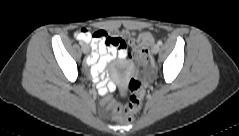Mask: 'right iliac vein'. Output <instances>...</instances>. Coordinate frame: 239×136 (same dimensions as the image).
<instances>
[{
  "mask_svg": "<svg viewBox=\"0 0 239 136\" xmlns=\"http://www.w3.org/2000/svg\"><path fill=\"white\" fill-rule=\"evenodd\" d=\"M82 51L83 53L87 54L89 51H90V48L87 44H85L83 47H82Z\"/></svg>",
  "mask_w": 239,
  "mask_h": 136,
  "instance_id": "right-iliac-vein-1",
  "label": "right iliac vein"
}]
</instances>
